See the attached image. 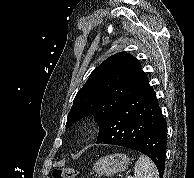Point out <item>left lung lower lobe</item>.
<instances>
[{
  "label": "left lung lower lobe",
  "instance_id": "left-lung-lower-lobe-1",
  "mask_svg": "<svg viewBox=\"0 0 194 178\" xmlns=\"http://www.w3.org/2000/svg\"><path fill=\"white\" fill-rule=\"evenodd\" d=\"M167 126L150 86L115 107L101 122L96 143L128 147L150 157L160 178L165 168Z\"/></svg>",
  "mask_w": 194,
  "mask_h": 178
}]
</instances>
